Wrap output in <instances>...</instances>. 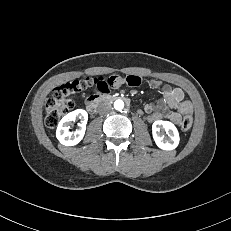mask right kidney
Returning <instances> with one entry per match:
<instances>
[{"instance_id": "ca27d5eb", "label": "right kidney", "mask_w": 231, "mask_h": 231, "mask_svg": "<svg viewBox=\"0 0 231 231\" xmlns=\"http://www.w3.org/2000/svg\"><path fill=\"white\" fill-rule=\"evenodd\" d=\"M76 119H80L79 128L74 132H70V125ZM88 113L83 109H77L64 116L58 124L56 137L61 144L65 146H74L78 144L84 137Z\"/></svg>"}]
</instances>
